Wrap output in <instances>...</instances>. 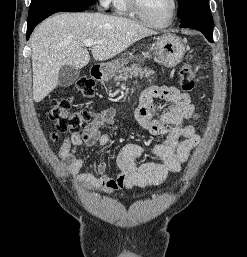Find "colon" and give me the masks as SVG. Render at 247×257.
<instances>
[{
	"label": "colon",
	"instance_id": "colon-1",
	"mask_svg": "<svg viewBox=\"0 0 247 257\" xmlns=\"http://www.w3.org/2000/svg\"><path fill=\"white\" fill-rule=\"evenodd\" d=\"M194 86V71L192 64L188 62L180 71V88L188 93ZM75 89L81 96L90 98L94 95V82L89 78H81L76 82ZM72 104L73 99L70 97L53 99L50 116L59 130L80 132L95 114L91 110H72ZM53 138H56V135H53Z\"/></svg>",
	"mask_w": 247,
	"mask_h": 257
}]
</instances>
